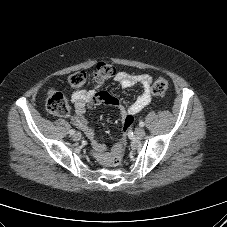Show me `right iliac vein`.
I'll return each instance as SVG.
<instances>
[{
    "label": "right iliac vein",
    "instance_id": "63e3f726",
    "mask_svg": "<svg viewBox=\"0 0 227 227\" xmlns=\"http://www.w3.org/2000/svg\"><path fill=\"white\" fill-rule=\"evenodd\" d=\"M81 138H82V135H81V133H79V132L75 133V134L72 136V139H73L74 141H79V140H81Z\"/></svg>",
    "mask_w": 227,
    "mask_h": 227
}]
</instances>
